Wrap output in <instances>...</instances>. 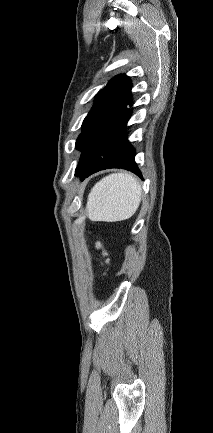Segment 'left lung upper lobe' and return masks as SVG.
Instances as JSON below:
<instances>
[{"mask_svg":"<svg viewBox=\"0 0 213 433\" xmlns=\"http://www.w3.org/2000/svg\"><path fill=\"white\" fill-rule=\"evenodd\" d=\"M131 87V81L126 75H118L97 94L95 104L84 119L82 132L76 140L75 148L81 150L82 155L75 174L94 159L129 111Z\"/></svg>","mask_w":213,"mask_h":433,"instance_id":"obj_1","label":"left lung upper lobe"}]
</instances>
